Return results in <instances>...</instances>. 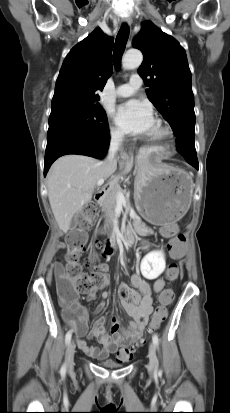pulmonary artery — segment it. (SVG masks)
Segmentation results:
<instances>
[{
	"mask_svg": "<svg viewBox=\"0 0 230 413\" xmlns=\"http://www.w3.org/2000/svg\"><path fill=\"white\" fill-rule=\"evenodd\" d=\"M142 85V79L139 75L130 77L129 82L119 86L115 90L116 97H129L133 95Z\"/></svg>",
	"mask_w": 230,
	"mask_h": 413,
	"instance_id": "obj_1",
	"label": "pulmonary artery"
}]
</instances>
